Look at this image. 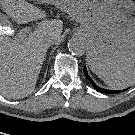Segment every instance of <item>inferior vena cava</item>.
Returning <instances> with one entry per match:
<instances>
[{"instance_id": "inferior-vena-cava-1", "label": "inferior vena cava", "mask_w": 135, "mask_h": 135, "mask_svg": "<svg viewBox=\"0 0 135 135\" xmlns=\"http://www.w3.org/2000/svg\"><path fill=\"white\" fill-rule=\"evenodd\" d=\"M48 43L51 45V44H53L54 43V39L52 38V37H50L49 39H48Z\"/></svg>"}]
</instances>
